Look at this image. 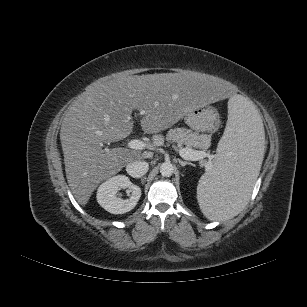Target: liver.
<instances>
[{"label": "liver", "instance_id": "liver-1", "mask_svg": "<svg viewBox=\"0 0 307 307\" xmlns=\"http://www.w3.org/2000/svg\"><path fill=\"white\" fill-rule=\"evenodd\" d=\"M229 95L224 85L194 72L122 76L89 85L65 112L60 130L66 178L77 202L86 205L103 180L143 157L136 149H103V143L130 135L134 110L140 111L142 130L156 134L194 108Z\"/></svg>", "mask_w": 307, "mask_h": 307}]
</instances>
